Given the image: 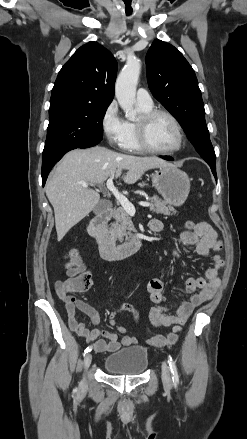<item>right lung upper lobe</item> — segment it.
I'll return each instance as SVG.
<instances>
[{
    "label": "right lung upper lobe",
    "mask_w": 247,
    "mask_h": 439,
    "mask_svg": "<svg viewBox=\"0 0 247 439\" xmlns=\"http://www.w3.org/2000/svg\"><path fill=\"white\" fill-rule=\"evenodd\" d=\"M97 42L81 46L60 70L50 105L62 102L109 105L114 97L117 62Z\"/></svg>",
    "instance_id": "obj_1"
}]
</instances>
